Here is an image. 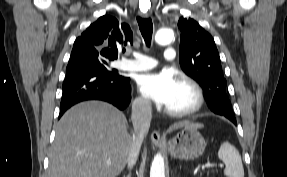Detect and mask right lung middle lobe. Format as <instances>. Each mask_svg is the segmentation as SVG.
<instances>
[{"mask_svg":"<svg viewBox=\"0 0 287 177\" xmlns=\"http://www.w3.org/2000/svg\"><path fill=\"white\" fill-rule=\"evenodd\" d=\"M111 60H106L97 56H86L73 61H69L66 73L80 69H95L106 74L119 75L116 70H110L108 63Z\"/></svg>","mask_w":287,"mask_h":177,"instance_id":"1","label":"right lung middle lobe"}]
</instances>
